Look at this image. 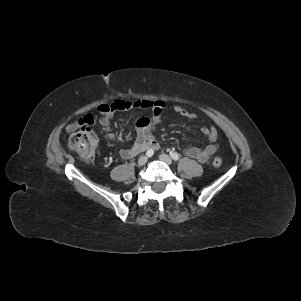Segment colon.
Listing matches in <instances>:
<instances>
[{"label": "colon", "mask_w": 301, "mask_h": 301, "mask_svg": "<svg viewBox=\"0 0 301 301\" xmlns=\"http://www.w3.org/2000/svg\"><path fill=\"white\" fill-rule=\"evenodd\" d=\"M96 146L97 137L95 133L87 127L74 132L69 138L70 149L84 161L93 160ZM212 163L215 167H220L222 165V159L220 157H216L213 159Z\"/></svg>", "instance_id": "1"}]
</instances>
